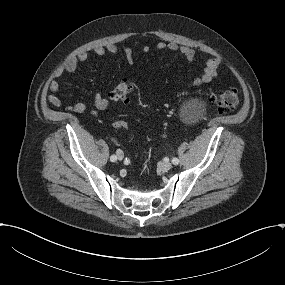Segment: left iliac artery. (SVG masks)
<instances>
[{
  "label": "left iliac artery",
  "mask_w": 285,
  "mask_h": 285,
  "mask_svg": "<svg viewBox=\"0 0 285 285\" xmlns=\"http://www.w3.org/2000/svg\"><path fill=\"white\" fill-rule=\"evenodd\" d=\"M172 163H173L174 165H178V164H179V159H178V158H173V159H172Z\"/></svg>",
  "instance_id": "44dca946"
}]
</instances>
